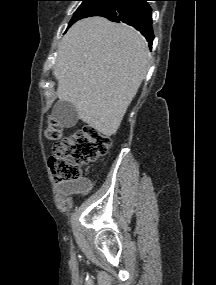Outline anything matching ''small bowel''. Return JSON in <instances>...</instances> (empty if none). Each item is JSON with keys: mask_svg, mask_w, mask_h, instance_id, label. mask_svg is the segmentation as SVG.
<instances>
[{"mask_svg": "<svg viewBox=\"0 0 216 285\" xmlns=\"http://www.w3.org/2000/svg\"><path fill=\"white\" fill-rule=\"evenodd\" d=\"M58 189L63 195L82 193L90 189V183L88 180H80L77 182H63L59 185Z\"/></svg>", "mask_w": 216, "mask_h": 285, "instance_id": "1", "label": "small bowel"}]
</instances>
